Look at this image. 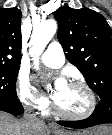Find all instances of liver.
I'll list each match as a JSON object with an SVG mask.
<instances>
[{"instance_id":"6515ba94","label":"liver","mask_w":112,"mask_h":135,"mask_svg":"<svg viewBox=\"0 0 112 135\" xmlns=\"http://www.w3.org/2000/svg\"><path fill=\"white\" fill-rule=\"evenodd\" d=\"M0 135H47V128L41 122L26 124L0 111Z\"/></svg>"}]
</instances>
